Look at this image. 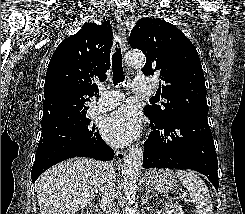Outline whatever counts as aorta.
<instances>
[{"label":"aorta","instance_id":"1","mask_svg":"<svg viewBox=\"0 0 245 214\" xmlns=\"http://www.w3.org/2000/svg\"><path fill=\"white\" fill-rule=\"evenodd\" d=\"M125 63L130 67H142L145 64V56L138 51H129L125 55ZM142 163V147L136 145L130 148L122 169L121 185L124 194L131 203L136 199V187Z\"/></svg>","mask_w":245,"mask_h":214}]
</instances>
